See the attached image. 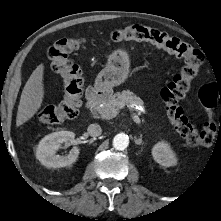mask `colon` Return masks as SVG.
Wrapping results in <instances>:
<instances>
[{"mask_svg": "<svg viewBox=\"0 0 221 221\" xmlns=\"http://www.w3.org/2000/svg\"><path fill=\"white\" fill-rule=\"evenodd\" d=\"M111 40L115 43L149 42L183 60L180 72L161 91L167 116L190 146L213 143L216 133L212 120L217 103V88L213 84H205L199 91L200 100L209 118V122L201 130L191 123L180 105L190 90L192 80L199 73L203 62L202 53L165 32L141 25L117 29L111 34ZM84 42L85 40L81 37H66L57 40L48 49L51 68L62 78L64 93L60 103L49 106L41 112L40 119L45 124H59L78 114L83 89L82 71L70 59V54L78 50Z\"/></svg>", "mask_w": 221, "mask_h": 221, "instance_id": "obj_1", "label": "colon"}]
</instances>
